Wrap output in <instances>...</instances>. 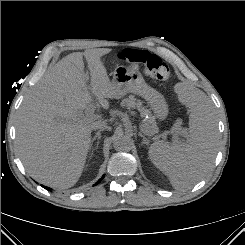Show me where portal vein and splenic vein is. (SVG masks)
Returning <instances> with one entry per match:
<instances>
[{
  "mask_svg": "<svg viewBox=\"0 0 245 245\" xmlns=\"http://www.w3.org/2000/svg\"><path fill=\"white\" fill-rule=\"evenodd\" d=\"M94 111H95V105H90L86 110H85V114L90 117V118H96L95 114H94ZM141 130L147 134V135H152L150 131L146 130L144 128V125H141ZM180 131V129H179ZM178 131V132H179ZM177 140V134L176 133H173V141H176Z\"/></svg>",
  "mask_w": 245,
  "mask_h": 245,
  "instance_id": "1",
  "label": "portal vein and splenic vein"
}]
</instances>
